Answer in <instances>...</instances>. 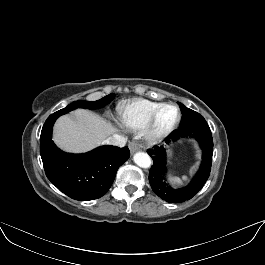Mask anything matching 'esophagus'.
<instances>
[{"instance_id": "esophagus-1", "label": "esophagus", "mask_w": 265, "mask_h": 265, "mask_svg": "<svg viewBox=\"0 0 265 265\" xmlns=\"http://www.w3.org/2000/svg\"><path fill=\"white\" fill-rule=\"evenodd\" d=\"M141 148L140 144L137 143L136 141H132L129 143V149L131 151V153H135L137 151H139Z\"/></svg>"}]
</instances>
